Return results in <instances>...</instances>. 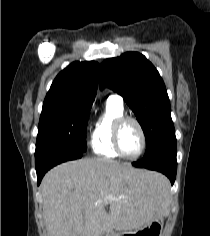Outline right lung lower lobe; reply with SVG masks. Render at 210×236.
<instances>
[{"label":"right lung lower lobe","mask_w":210,"mask_h":236,"mask_svg":"<svg viewBox=\"0 0 210 236\" xmlns=\"http://www.w3.org/2000/svg\"><path fill=\"white\" fill-rule=\"evenodd\" d=\"M84 156V153L67 150L63 148H50L35 152V165L37 172L38 185L40 184L45 173L65 161L79 159Z\"/></svg>","instance_id":"obj_1"}]
</instances>
